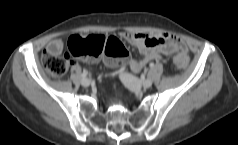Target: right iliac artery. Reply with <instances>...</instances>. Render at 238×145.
Returning <instances> with one entry per match:
<instances>
[{
    "label": "right iliac artery",
    "instance_id": "obj_1",
    "mask_svg": "<svg viewBox=\"0 0 238 145\" xmlns=\"http://www.w3.org/2000/svg\"><path fill=\"white\" fill-rule=\"evenodd\" d=\"M87 76H88V72H87V71H83L82 77H83V78H86Z\"/></svg>",
    "mask_w": 238,
    "mask_h": 145
}]
</instances>
